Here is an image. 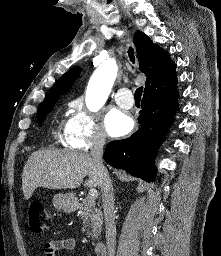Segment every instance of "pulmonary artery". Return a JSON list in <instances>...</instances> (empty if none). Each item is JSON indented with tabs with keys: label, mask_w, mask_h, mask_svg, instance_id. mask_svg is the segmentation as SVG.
Wrapping results in <instances>:
<instances>
[{
	"label": "pulmonary artery",
	"mask_w": 221,
	"mask_h": 256,
	"mask_svg": "<svg viewBox=\"0 0 221 256\" xmlns=\"http://www.w3.org/2000/svg\"><path fill=\"white\" fill-rule=\"evenodd\" d=\"M115 101L121 108L130 109L134 104L131 90L128 88L118 89L115 94Z\"/></svg>",
	"instance_id": "pulmonary-artery-1"
}]
</instances>
